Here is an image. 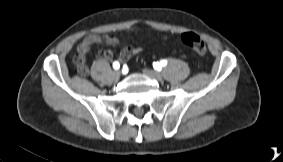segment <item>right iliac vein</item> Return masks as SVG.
<instances>
[{"mask_svg": "<svg viewBox=\"0 0 283 162\" xmlns=\"http://www.w3.org/2000/svg\"><path fill=\"white\" fill-rule=\"evenodd\" d=\"M113 75H114V78H115L116 80L119 79V78H120V75H121L120 70H115V71L113 72Z\"/></svg>", "mask_w": 283, "mask_h": 162, "instance_id": "1", "label": "right iliac vein"}]
</instances>
